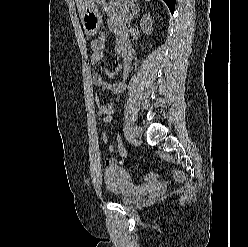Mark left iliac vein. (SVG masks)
Listing matches in <instances>:
<instances>
[{
  "label": "left iliac vein",
  "instance_id": "obj_1",
  "mask_svg": "<svg viewBox=\"0 0 248 247\" xmlns=\"http://www.w3.org/2000/svg\"><path fill=\"white\" fill-rule=\"evenodd\" d=\"M133 137L138 139L141 134V127L139 125H134L132 130Z\"/></svg>",
  "mask_w": 248,
  "mask_h": 247
}]
</instances>
